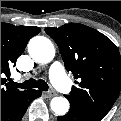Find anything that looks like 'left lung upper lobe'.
<instances>
[{"label":"left lung upper lobe","mask_w":121,"mask_h":121,"mask_svg":"<svg viewBox=\"0 0 121 121\" xmlns=\"http://www.w3.org/2000/svg\"><path fill=\"white\" fill-rule=\"evenodd\" d=\"M45 31L57 43L67 71L78 79V86L65 95L70 105L104 117L121 89V57L115 44L82 24L70 23Z\"/></svg>","instance_id":"1"}]
</instances>
